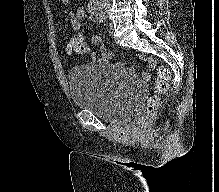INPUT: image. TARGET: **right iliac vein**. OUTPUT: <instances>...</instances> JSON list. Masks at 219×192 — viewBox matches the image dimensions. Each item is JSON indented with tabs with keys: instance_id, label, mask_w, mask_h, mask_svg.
Here are the masks:
<instances>
[{
	"instance_id": "63e3f726",
	"label": "right iliac vein",
	"mask_w": 219,
	"mask_h": 192,
	"mask_svg": "<svg viewBox=\"0 0 219 192\" xmlns=\"http://www.w3.org/2000/svg\"><path fill=\"white\" fill-rule=\"evenodd\" d=\"M108 12L109 10L107 8H104L102 9L101 13L104 15V16H107L108 15Z\"/></svg>"
}]
</instances>
